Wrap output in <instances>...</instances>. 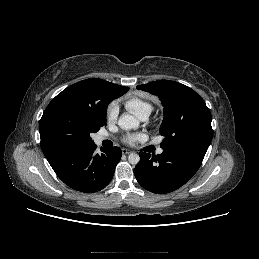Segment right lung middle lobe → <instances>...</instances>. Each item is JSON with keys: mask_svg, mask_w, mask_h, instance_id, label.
<instances>
[{"mask_svg": "<svg viewBox=\"0 0 259 259\" xmlns=\"http://www.w3.org/2000/svg\"><path fill=\"white\" fill-rule=\"evenodd\" d=\"M106 125V117L76 106L72 102L59 100L48 110L44 122L40 123L41 148L57 151L69 147L91 145L90 134Z\"/></svg>", "mask_w": 259, "mask_h": 259, "instance_id": "dd1d6c3e", "label": "right lung middle lobe"}]
</instances>
